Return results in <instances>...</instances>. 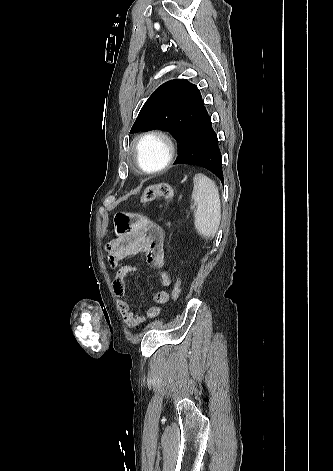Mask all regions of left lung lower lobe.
Returning <instances> with one entry per match:
<instances>
[{"label": "left lung lower lobe", "instance_id": "left-lung-lower-lobe-1", "mask_svg": "<svg viewBox=\"0 0 333 471\" xmlns=\"http://www.w3.org/2000/svg\"><path fill=\"white\" fill-rule=\"evenodd\" d=\"M173 164H191L204 167L213 172L224 183L222 156L217 134L212 128L208 112L196 126L190 141L179 153Z\"/></svg>", "mask_w": 333, "mask_h": 471}]
</instances>
